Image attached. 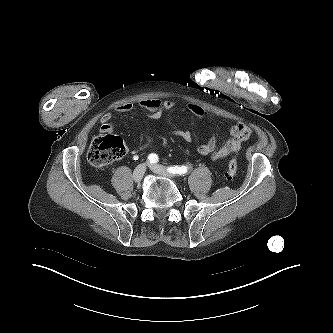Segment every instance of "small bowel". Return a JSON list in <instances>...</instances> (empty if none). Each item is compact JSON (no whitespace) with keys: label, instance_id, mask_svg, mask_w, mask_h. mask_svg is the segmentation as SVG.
<instances>
[{"label":"small bowel","instance_id":"1","mask_svg":"<svg viewBox=\"0 0 333 333\" xmlns=\"http://www.w3.org/2000/svg\"><path fill=\"white\" fill-rule=\"evenodd\" d=\"M139 106L148 111L146 115L147 120H157L161 118L164 112L172 110L176 103L173 100H161L159 98H145L139 101ZM134 108L132 103H125L117 106L114 111L116 113H127ZM188 110L195 116L202 119H211V115L200 105L196 103H190ZM113 118V114L105 113L100 119V132L112 133L114 132V126L110 123ZM173 131L170 132L172 136L179 137L186 142H190L193 139V134L190 130L179 127L173 124ZM147 140L149 142H155L160 139L159 136L154 135L147 130L145 131ZM252 130L244 123H237L230 127V138H228L220 147H218L217 138L212 135L207 141L201 143L197 151L202 156H210L212 160H221L230 154H237L242 149L243 145L251 138Z\"/></svg>","mask_w":333,"mask_h":333}]
</instances>
